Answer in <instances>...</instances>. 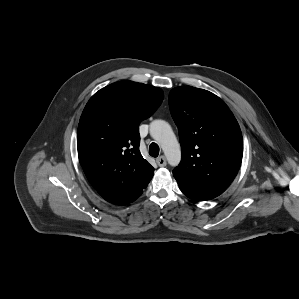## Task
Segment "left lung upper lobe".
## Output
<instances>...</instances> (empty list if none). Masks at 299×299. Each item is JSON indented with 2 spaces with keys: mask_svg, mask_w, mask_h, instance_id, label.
<instances>
[{
  "mask_svg": "<svg viewBox=\"0 0 299 299\" xmlns=\"http://www.w3.org/2000/svg\"><path fill=\"white\" fill-rule=\"evenodd\" d=\"M169 106L181 144V162L173 170L180 189L206 199L219 196L242 162L237 120L219 97L191 86L172 89Z\"/></svg>",
  "mask_w": 299,
  "mask_h": 299,
  "instance_id": "1",
  "label": "left lung upper lobe"
}]
</instances>
